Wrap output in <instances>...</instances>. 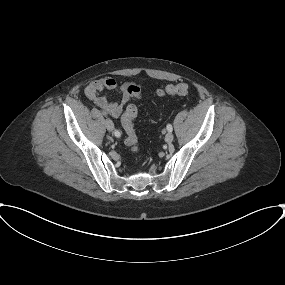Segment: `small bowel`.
I'll use <instances>...</instances> for the list:
<instances>
[{
	"label": "small bowel",
	"mask_w": 285,
	"mask_h": 285,
	"mask_svg": "<svg viewBox=\"0 0 285 285\" xmlns=\"http://www.w3.org/2000/svg\"><path fill=\"white\" fill-rule=\"evenodd\" d=\"M104 91L118 94L120 100L117 102L109 101L106 95L102 94ZM84 94L90 101L101 108L104 114L117 118L122 114L128 102L142 98V89L141 85L132 81L118 84L111 77H103L86 85Z\"/></svg>",
	"instance_id": "1"
}]
</instances>
